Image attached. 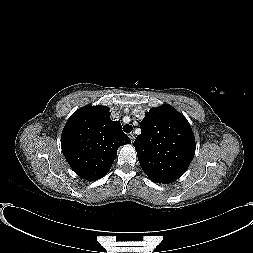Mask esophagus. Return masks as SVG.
I'll use <instances>...</instances> for the list:
<instances>
[{
    "mask_svg": "<svg viewBox=\"0 0 253 253\" xmlns=\"http://www.w3.org/2000/svg\"><path fill=\"white\" fill-rule=\"evenodd\" d=\"M129 138H130L131 142L133 143V142H134V139H135L134 133H130V134H129Z\"/></svg>",
    "mask_w": 253,
    "mask_h": 253,
    "instance_id": "obj_1",
    "label": "esophagus"
}]
</instances>
